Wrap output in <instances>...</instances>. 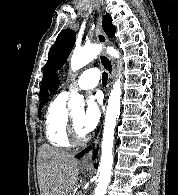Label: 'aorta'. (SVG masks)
<instances>
[{
	"label": "aorta",
	"mask_w": 178,
	"mask_h": 195,
	"mask_svg": "<svg viewBox=\"0 0 178 195\" xmlns=\"http://www.w3.org/2000/svg\"><path fill=\"white\" fill-rule=\"evenodd\" d=\"M101 50V45L90 44L74 51L70 63L72 71H77L90 63L99 55ZM107 53L114 58L120 57L119 52L111 47L107 48ZM121 93V81L119 76V78L113 84V89L111 90L108 99L102 136L101 160L98 168L100 174L98 177V184L95 188L94 195H104L110 181L113 165L114 132L117 119L120 115ZM83 104L84 101L82 97L78 93L72 92L70 100L68 101V107L73 110L79 106H83Z\"/></svg>",
	"instance_id": "762f6f07"
}]
</instances>
